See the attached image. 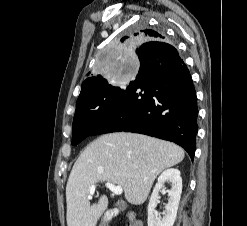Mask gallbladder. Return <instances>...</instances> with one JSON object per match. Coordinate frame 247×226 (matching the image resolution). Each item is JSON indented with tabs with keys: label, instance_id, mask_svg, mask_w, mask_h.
<instances>
[{
	"label": "gallbladder",
	"instance_id": "gallbladder-1",
	"mask_svg": "<svg viewBox=\"0 0 247 226\" xmlns=\"http://www.w3.org/2000/svg\"><path fill=\"white\" fill-rule=\"evenodd\" d=\"M117 206H118V208L120 209V210H125V208H126V205L124 204V203H121V202H119V203H117L116 204Z\"/></svg>",
	"mask_w": 247,
	"mask_h": 226
}]
</instances>
